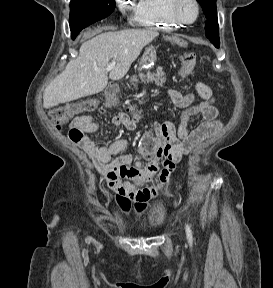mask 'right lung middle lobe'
Returning a JSON list of instances; mask_svg holds the SVG:
<instances>
[{
	"instance_id": "dd1d6c3e",
	"label": "right lung middle lobe",
	"mask_w": 273,
	"mask_h": 288,
	"mask_svg": "<svg viewBox=\"0 0 273 288\" xmlns=\"http://www.w3.org/2000/svg\"><path fill=\"white\" fill-rule=\"evenodd\" d=\"M115 8V0H71L70 29L71 37L90 24L109 16Z\"/></svg>"
}]
</instances>
